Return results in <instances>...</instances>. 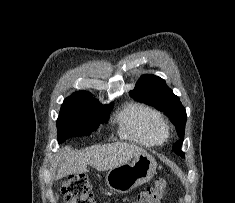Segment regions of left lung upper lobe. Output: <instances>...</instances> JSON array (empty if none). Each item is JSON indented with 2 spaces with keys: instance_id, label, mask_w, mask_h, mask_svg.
I'll list each match as a JSON object with an SVG mask.
<instances>
[{
  "instance_id": "obj_1",
  "label": "left lung upper lobe",
  "mask_w": 235,
  "mask_h": 203,
  "mask_svg": "<svg viewBox=\"0 0 235 203\" xmlns=\"http://www.w3.org/2000/svg\"><path fill=\"white\" fill-rule=\"evenodd\" d=\"M130 96L141 103L155 107L170 118L176 127L178 136L181 138L174 144L173 150L178 155L185 157L181 151V146L187 120L186 111L179 98L173 94L165 81L154 75H143L134 90L130 91Z\"/></svg>"
}]
</instances>
